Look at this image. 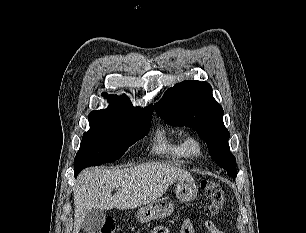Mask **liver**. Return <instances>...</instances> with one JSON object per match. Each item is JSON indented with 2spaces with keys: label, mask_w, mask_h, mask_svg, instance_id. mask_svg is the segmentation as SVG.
Listing matches in <instances>:
<instances>
[{
  "label": "liver",
  "mask_w": 306,
  "mask_h": 233,
  "mask_svg": "<svg viewBox=\"0 0 306 233\" xmlns=\"http://www.w3.org/2000/svg\"><path fill=\"white\" fill-rule=\"evenodd\" d=\"M183 169L162 163H145L127 169L89 168L74 188V230L78 233L92 209H133L159 199L176 180L190 179ZM114 188H119L112 195Z\"/></svg>",
  "instance_id": "liver-1"
}]
</instances>
